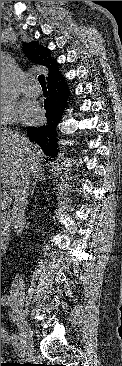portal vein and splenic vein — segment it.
<instances>
[{
  "instance_id": "1",
  "label": "portal vein and splenic vein",
  "mask_w": 122,
  "mask_h": 366,
  "mask_svg": "<svg viewBox=\"0 0 122 366\" xmlns=\"http://www.w3.org/2000/svg\"><path fill=\"white\" fill-rule=\"evenodd\" d=\"M1 196H2L5 200H7V201L11 200V198H10V196H9V193H8V191H6V190L1 191Z\"/></svg>"
}]
</instances>
